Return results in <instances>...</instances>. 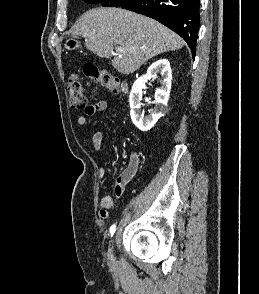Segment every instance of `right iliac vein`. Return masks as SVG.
Instances as JSON below:
<instances>
[{
  "mask_svg": "<svg viewBox=\"0 0 259 294\" xmlns=\"http://www.w3.org/2000/svg\"><path fill=\"white\" fill-rule=\"evenodd\" d=\"M112 245H113V240L111 242V249H110V253H109L110 257H112Z\"/></svg>",
  "mask_w": 259,
  "mask_h": 294,
  "instance_id": "63e3f726",
  "label": "right iliac vein"
}]
</instances>
